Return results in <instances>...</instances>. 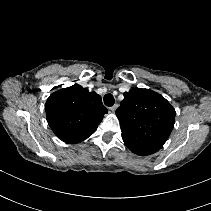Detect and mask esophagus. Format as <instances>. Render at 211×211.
<instances>
[{
    "label": "esophagus",
    "instance_id": "34e87169",
    "mask_svg": "<svg viewBox=\"0 0 211 211\" xmlns=\"http://www.w3.org/2000/svg\"><path fill=\"white\" fill-rule=\"evenodd\" d=\"M117 107H118V104H115L114 106L110 107V110L112 112H115V110L117 109Z\"/></svg>",
    "mask_w": 211,
    "mask_h": 211
}]
</instances>
